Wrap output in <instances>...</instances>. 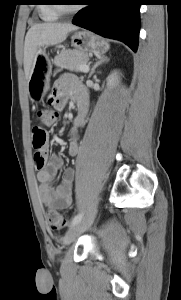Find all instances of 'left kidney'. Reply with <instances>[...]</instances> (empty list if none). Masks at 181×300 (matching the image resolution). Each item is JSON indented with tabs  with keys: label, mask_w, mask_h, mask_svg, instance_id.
I'll return each mask as SVG.
<instances>
[{
	"label": "left kidney",
	"mask_w": 181,
	"mask_h": 300,
	"mask_svg": "<svg viewBox=\"0 0 181 300\" xmlns=\"http://www.w3.org/2000/svg\"><path fill=\"white\" fill-rule=\"evenodd\" d=\"M118 73L117 71H114L108 78H107V82L109 86H114L117 81H118Z\"/></svg>",
	"instance_id": "5707ae66"
}]
</instances>
